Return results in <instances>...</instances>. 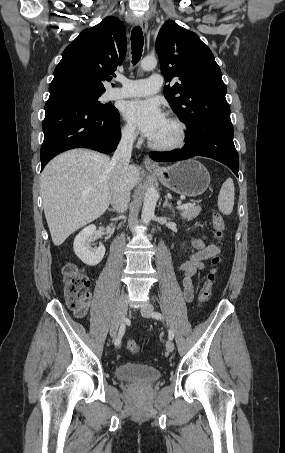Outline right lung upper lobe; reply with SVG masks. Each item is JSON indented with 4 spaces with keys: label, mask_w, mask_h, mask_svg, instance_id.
I'll return each instance as SVG.
<instances>
[{
    "label": "right lung upper lobe",
    "mask_w": 285,
    "mask_h": 453,
    "mask_svg": "<svg viewBox=\"0 0 285 453\" xmlns=\"http://www.w3.org/2000/svg\"><path fill=\"white\" fill-rule=\"evenodd\" d=\"M127 47L123 22L108 16L83 30L63 52L49 86L50 94L72 91L103 93V82L114 75Z\"/></svg>",
    "instance_id": "1"
}]
</instances>
